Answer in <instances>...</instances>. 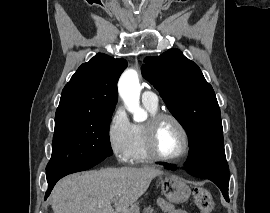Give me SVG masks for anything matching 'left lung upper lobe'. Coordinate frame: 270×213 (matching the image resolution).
<instances>
[{"mask_svg":"<svg viewBox=\"0 0 270 213\" xmlns=\"http://www.w3.org/2000/svg\"><path fill=\"white\" fill-rule=\"evenodd\" d=\"M142 75L189 133V155L202 178L229 182L220 108L200 68L178 49L146 57Z\"/></svg>","mask_w":270,"mask_h":213,"instance_id":"obj_1","label":"left lung upper lobe"}]
</instances>
